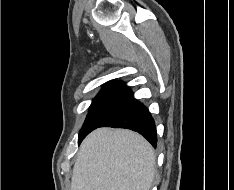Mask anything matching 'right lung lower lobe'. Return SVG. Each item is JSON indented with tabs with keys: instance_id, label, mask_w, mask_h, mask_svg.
<instances>
[{
	"instance_id": "1",
	"label": "right lung lower lobe",
	"mask_w": 234,
	"mask_h": 190,
	"mask_svg": "<svg viewBox=\"0 0 234 190\" xmlns=\"http://www.w3.org/2000/svg\"><path fill=\"white\" fill-rule=\"evenodd\" d=\"M99 127L130 129L144 136L153 147L157 146L155 122L149 110L134 98L127 86L115 107ZM86 135L79 137V144Z\"/></svg>"
}]
</instances>
